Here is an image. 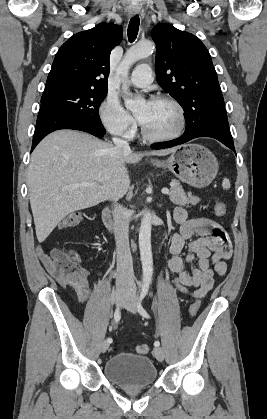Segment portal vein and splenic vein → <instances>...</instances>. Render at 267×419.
<instances>
[{
    "instance_id": "obj_1",
    "label": "portal vein and splenic vein",
    "mask_w": 267,
    "mask_h": 419,
    "mask_svg": "<svg viewBox=\"0 0 267 419\" xmlns=\"http://www.w3.org/2000/svg\"><path fill=\"white\" fill-rule=\"evenodd\" d=\"M81 186H95V184L94 183H88V182H83V183H81L80 184ZM169 189L168 188H163L162 189V193L163 194H169Z\"/></svg>"
}]
</instances>
